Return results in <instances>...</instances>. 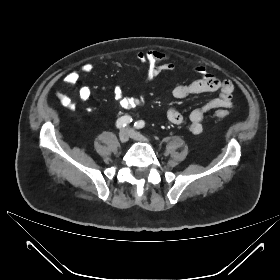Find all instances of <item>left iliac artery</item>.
I'll list each match as a JSON object with an SVG mask.
<instances>
[{"mask_svg":"<svg viewBox=\"0 0 280 280\" xmlns=\"http://www.w3.org/2000/svg\"><path fill=\"white\" fill-rule=\"evenodd\" d=\"M134 126L137 129H141V128H143L145 126V123H144V121L139 120V121L135 122Z\"/></svg>","mask_w":280,"mask_h":280,"instance_id":"1","label":"left iliac artery"}]
</instances>
